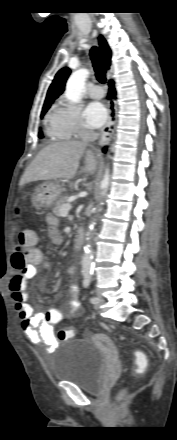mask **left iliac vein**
Masks as SVG:
<instances>
[{
	"instance_id": "4c4485c4",
	"label": "left iliac vein",
	"mask_w": 177,
	"mask_h": 440,
	"mask_svg": "<svg viewBox=\"0 0 177 440\" xmlns=\"http://www.w3.org/2000/svg\"><path fill=\"white\" fill-rule=\"evenodd\" d=\"M97 298L99 299V301L97 303L94 304V307L96 309H98L100 307V305L104 302V299L100 296H97Z\"/></svg>"
}]
</instances>
